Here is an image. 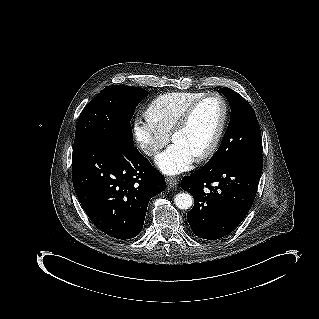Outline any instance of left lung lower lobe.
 Here are the masks:
<instances>
[{
    "label": "left lung lower lobe",
    "instance_id": "left-lung-lower-lobe-1",
    "mask_svg": "<svg viewBox=\"0 0 319 319\" xmlns=\"http://www.w3.org/2000/svg\"><path fill=\"white\" fill-rule=\"evenodd\" d=\"M263 167L262 154H250L225 163H207L185 176L181 188L194 196L187 213L193 233L216 240L234 231L254 201Z\"/></svg>",
    "mask_w": 319,
    "mask_h": 319
}]
</instances>
